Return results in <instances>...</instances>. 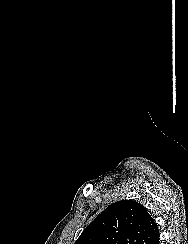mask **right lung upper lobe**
<instances>
[{"label": "right lung upper lobe", "mask_w": 188, "mask_h": 244, "mask_svg": "<svg viewBox=\"0 0 188 244\" xmlns=\"http://www.w3.org/2000/svg\"><path fill=\"white\" fill-rule=\"evenodd\" d=\"M158 233L157 224L143 205L121 200L98 215L75 244H149Z\"/></svg>", "instance_id": "cb5924a9"}]
</instances>
